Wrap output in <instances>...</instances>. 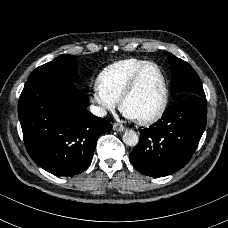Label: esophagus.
Returning a JSON list of instances; mask_svg holds the SVG:
<instances>
[{
  "mask_svg": "<svg viewBox=\"0 0 228 228\" xmlns=\"http://www.w3.org/2000/svg\"><path fill=\"white\" fill-rule=\"evenodd\" d=\"M124 126L122 124L119 123H113V130L117 131V132H122L124 130Z\"/></svg>",
  "mask_w": 228,
  "mask_h": 228,
  "instance_id": "1",
  "label": "esophagus"
}]
</instances>
